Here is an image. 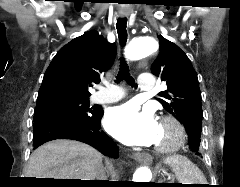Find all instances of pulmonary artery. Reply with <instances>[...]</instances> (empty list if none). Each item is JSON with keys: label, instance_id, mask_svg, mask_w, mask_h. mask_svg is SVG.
Returning <instances> with one entry per match:
<instances>
[{"label": "pulmonary artery", "instance_id": "1", "mask_svg": "<svg viewBox=\"0 0 240 187\" xmlns=\"http://www.w3.org/2000/svg\"><path fill=\"white\" fill-rule=\"evenodd\" d=\"M138 84L142 91H152L155 88V80L150 74H141L138 77ZM125 92L119 86H109L104 93L93 95L95 103H112L122 99Z\"/></svg>", "mask_w": 240, "mask_h": 187}]
</instances>
